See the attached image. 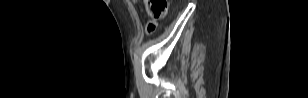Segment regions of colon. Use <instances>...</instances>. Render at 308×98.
<instances>
[{"label": "colon", "instance_id": "5ec220e1", "mask_svg": "<svg viewBox=\"0 0 308 98\" xmlns=\"http://www.w3.org/2000/svg\"><path fill=\"white\" fill-rule=\"evenodd\" d=\"M145 11L149 17L148 30H153L157 21L164 18L168 10L167 0H144Z\"/></svg>", "mask_w": 308, "mask_h": 98}]
</instances>
